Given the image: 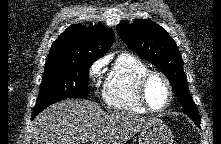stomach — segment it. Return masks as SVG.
<instances>
[{
    "mask_svg": "<svg viewBox=\"0 0 221 144\" xmlns=\"http://www.w3.org/2000/svg\"><path fill=\"white\" fill-rule=\"evenodd\" d=\"M139 144H173L171 129L162 121L156 120L143 128L138 138Z\"/></svg>",
    "mask_w": 221,
    "mask_h": 144,
    "instance_id": "stomach-1",
    "label": "stomach"
}]
</instances>
